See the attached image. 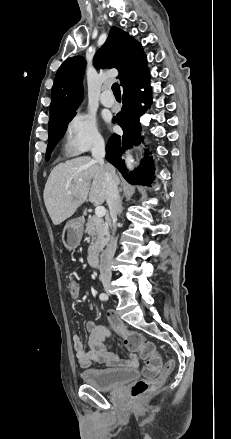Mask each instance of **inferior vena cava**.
Listing matches in <instances>:
<instances>
[{"instance_id": "602c4592", "label": "inferior vena cava", "mask_w": 231, "mask_h": 439, "mask_svg": "<svg viewBox=\"0 0 231 439\" xmlns=\"http://www.w3.org/2000/svg\"><path fill=\"white\" fill-rule=\"evenodd\" d=\"M93 158L104 168V176L106 183V201L109 206L110 215L112 218V233L110 241L104 250L101 260H100V279L102 282L110 281L111 263L113 256L116 251V240L114 238V233L116 230L117 215L120 209V195L118 191L119 179L117 178L114 168L104 163L105 157V144L103 140H98L93 144L91 149Z\"/></svg>"}]
</instances>
